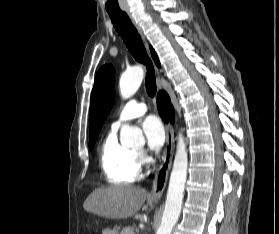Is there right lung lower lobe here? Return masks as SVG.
<instances>
[{
    "label": "right lung lower lobe",
    "instance_id": "right-lung-lower-lobe-1",
    "mask_svg": "<svg viewBox=\"0 0 279 234\" xmlns=\"http://www.w3.org/2000/svg\"><path fill=\"white\" fill-rule=\"evenodd\" d=\"M167 103V104H166ZM158 112L165 122H174V110L170 103L168 95L162 91L158 93L157 97Z\"/></svg>",
    "mask_w": 279,
    "mask_h": 234
}]
</instances>
